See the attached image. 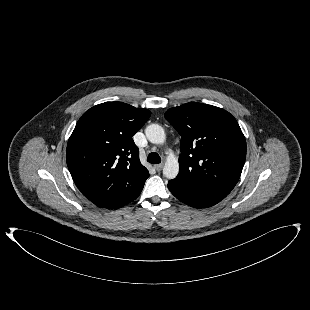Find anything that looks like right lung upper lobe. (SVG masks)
Wrapping results in <instances>:
<instances>
[{"instance_id":"obj_1","label":"right lung upper lobe","mask_w":310,"mask_h":310,"mask_svg":"<svg viewBox=\"0 0 310 310\" xmlns=\"http://www.w3.org/2000/svg\"><path fill=\"white\" fill-rule=\"evenodd\" d=\"M150 111L105 102L86 111L67 144V165L78 189L102 208L125 204L143 189L149 172L132 137Z\"/></svg>"}]
</instances>
